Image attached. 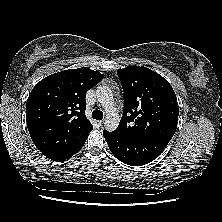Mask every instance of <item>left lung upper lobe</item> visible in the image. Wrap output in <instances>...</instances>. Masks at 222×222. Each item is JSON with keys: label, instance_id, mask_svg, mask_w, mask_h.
Returning <instances> with one entry per match:
<instances>
[{"label": "left lung upper lobe", "instance_id": "5c2ea615", "mask_svg": "<svg viewBox=\"0 0 222 222\" xmlns=\"http://www.w3.org/2000/svg\"><path fill=\"white\" fill-rule=\"evenodd\" d=\"M117 74L124 91V112L115 132L170 141L177 129L179 106L169 82L143 66H128Z\"/></svg>", "mask_w": 222, "mask_h": 222}]
</instances>
